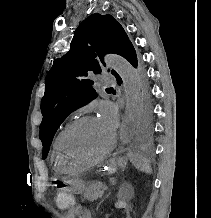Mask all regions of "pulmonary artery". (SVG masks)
<instances>
[{"instance_id": "pulmonary-artery-1", "label": "pulmonary artery", "mask_w": 211, "mask_h": 218, "mask_svg": "<svg viewBox=\"0 0 211 218\" xmlns=\"http://www.w3.org/2000/svg\"><path fill=\"white\" fill-rule=\"evenodd\" d=\"M103 85H118V80L116 75L102 74L100 76Z\"/></svg>"}]
</instances>
